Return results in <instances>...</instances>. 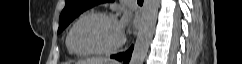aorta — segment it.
<instances>
[{
    "mask_svg": "<svg viewBox=\"0 0 242 64\" xmlns=\"http://www.w3.org/2000/svg\"><path fill=\"white\" fill-rule=\"evenodd\" d=\"M159 10V0H144L141 23L130 64H143L152 41Z\"/></svg>",
    "mask_w": 242,
    "mask_h": 64,
    "instance_id": "obj_1",
    "label": "aorta"
}]
</instances>
